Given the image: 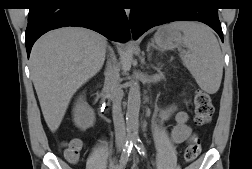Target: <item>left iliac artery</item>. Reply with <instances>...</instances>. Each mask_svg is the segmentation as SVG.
<instances>
[{
  "mask_svg": "<svg viewBox=\"0 0 252 169\" xmlns=\"http://www.w3.org/2000/svg\"><path fill=\"white\" fill-rule=\"evenodd\" d=\"M134 145L137 151L139 152V154L143 157H146V149L139 138L134 139Z\"/></svg>",
  "mask_w": 252,
  "mask_h": 169,
  "instance_id": "left-iliac-artery-1",
  "label": "left iliac artery"
}]
</instances>
